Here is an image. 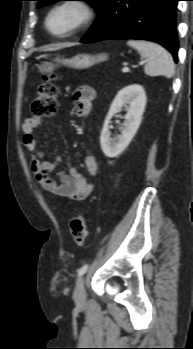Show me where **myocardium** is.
Wrapping results in <instances>:
<instances>
[{"label":"myocardium","instance_id":"f54148a6","mask_svg":"<svg viewBox=\"0 0 193 349\" xmlns=\"http://www.w3.org/2000/svg\"><path fill=\"white\" fill-rule=\"evenodd\" d=\"M66 6L78 7L82 11V14H83L82 18L69 30L63 33H54L49 28V19L54 11ZM96 14L97 12L95 7L87 0H62L54 4L47 11L44 19V26L47 32L53 37H56L59 39L68 38L77 34L81 30L85 29L87 26H89L94 21Z\"/></svg>","mask_w":193,"mask_h":349}]
</instances>
